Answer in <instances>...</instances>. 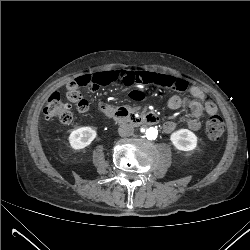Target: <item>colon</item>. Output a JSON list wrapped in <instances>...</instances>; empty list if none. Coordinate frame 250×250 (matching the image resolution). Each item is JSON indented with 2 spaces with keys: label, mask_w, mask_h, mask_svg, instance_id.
Listing matches in <instances>:
<instances>
[{
  "label": "colon",
  "mask_w": 250,
  "mask_h": 250,
  "mask_svg": "<svg viewBox=\"0 0 250 250\" xmlns=\"http://www.w3.org/2000/svg\"><path fill=\"white\" fill-rule=\"evenodd\" d=\"M139 77H148L155 86H159L162 80V77L159 75H150V73L143 69L128 66H118L112 68L104 67L89 72L80 78L68 79L59 87L58 92H55L50 98L45 108V114L49 117L69 119L70 112L68 107L61 101L60 92L66 93L71 97H77L78 90L86 86L88 83L106 84L111 82H120L124 84H131ZM204 110L208 118V137L216 140L223 133L222 120L219 115V107L216 100L207 96L204 102ZM82 113L84 119L92 118L85 107H82Z\"/></svg>",
  "instance_id": "5ec220e1"
}]
</instances>
